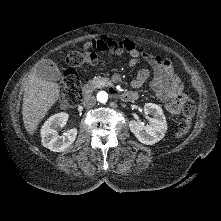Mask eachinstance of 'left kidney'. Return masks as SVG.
<instances>
[{"instance_id":"left-kidney-1","label":"left kidney","mask_w":221,"mask_h":221,"mask_svg":"<svg viewBox=\"0 0 221 221\" xmlns=\"http://www.w3.org/2000/svg\"><path fill=\"white\" fill-rule=\"evenodd\" d=\"M144 113L153 116L149 120V125L132 120L129 122V128L141 143L152 145L165 136L167 131L166 118L161 107L154 103H146Z\"/></svg>"}]
</instances>
